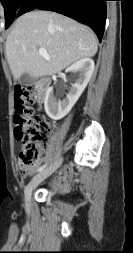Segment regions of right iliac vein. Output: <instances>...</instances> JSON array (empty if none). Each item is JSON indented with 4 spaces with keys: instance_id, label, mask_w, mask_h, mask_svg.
Masks as SVG:
<instances>
[{
    "instance_id": "63e3f726",
    "label": "right iliac vein",
    "mask_w": 133,
    "mask_h": 253,
    "mask_svg": "<svg viewBox=\"0 0 133 253\" xmlns=\"http://www.w3.org/2000/svg\"><path fill=\"white\" fill-rule=\"evenodd\" d=\"M62 159L57 160L53 165L45 169L44 171L40 172L38 175H36L25 187V204L26 206L30 205L31 202V195L32 191L47 177H49L51 174H53L61 165Z\"/></svg>"
}]
</instances>
